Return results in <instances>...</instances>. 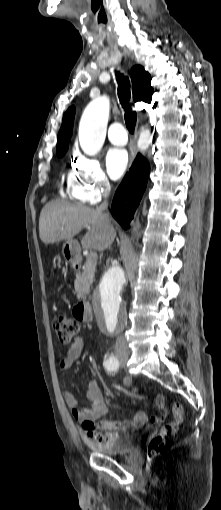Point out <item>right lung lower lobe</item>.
Instances as JSON below:
<instances>
[{"label": "right lung lower lobe", "mask_w": 221, "mask_h": 510, "mask_svg": "<svg viewBox=\"0 0 221 510\" xmlns=\"http://www.w3.org/2000/svg\"><path fill=\"white\" fill-rule=\"evenodd\" d=\"M149 172L148 161L138 154L129 173L125 175L115 193L111 212L113 217L125 229L128 228L145 191Z\"/></svg>", "instance_id": "right-lung-lower-lobe-1"}]
</instances>
